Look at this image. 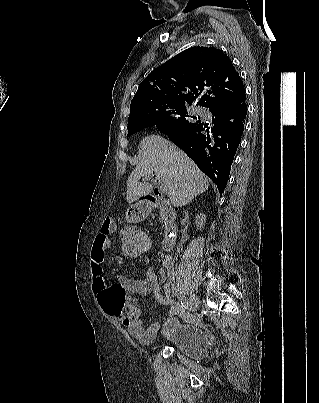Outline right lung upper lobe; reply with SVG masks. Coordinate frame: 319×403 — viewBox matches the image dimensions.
I'll use <instances>...</instances> for the list:
<instances>
[{
  "label": "right lung upper lobe",
  "instance_id": "cb5924a9",
  "mask_svg": "<svg viewBox=\"0 0 319 403\" xmlns=\"http://www.w3.org/2000/svg\"><path fill=\"white\" fill-rule=\"evenodd\" d=\"M203 93V94H202ZM215 106L246 98L239 73L230 58L214 47L184 50L153 70L139 85L129 120L165 104Z\"/></svg>",
  "mask_w": 319,
  "mask_h": 403
}]
</instances>
